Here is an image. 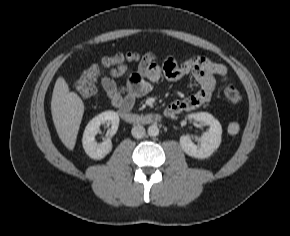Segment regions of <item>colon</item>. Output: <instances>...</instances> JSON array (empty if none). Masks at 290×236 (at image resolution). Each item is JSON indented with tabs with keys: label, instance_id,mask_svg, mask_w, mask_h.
Segmentation results:
<instances>
[{
	"label": "colon",
	"instance_id": "obj_1",
	"mask_svg": "<svg viewBox=\"0 0 290 236\" xmlns=\"http://www.w3.org/2000/svg\"><path fill=\"white\" fill-rule=\"evenodd\" d=\"M139 59V54L134 52L118 53L110 57H105L99 64H94L85 70L76 83L77 92L84 99H90L96 92L95 82L104 70H108L121 65L135 62ZM225 95L229 102L239 103L242 100V93L232 85L225 89Z\"/></svg>",
	"mask_w": 290,
	"mask_h": 236
}]
</instances>
